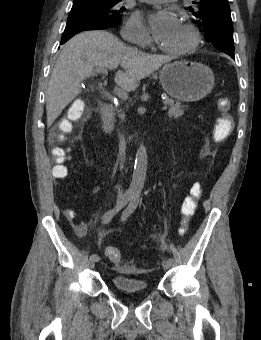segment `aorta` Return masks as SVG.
Instances as JSON below:
<instances>
[{
  "label": "aorta",
  "mask_w": 261,
  "mask_h": 340,
  "mask_svg": "<svg viewBox=\"0 0 261 340\" xmlns=\"http://www.w3.org/2000/svg\"><path fill=\"white\" fill-rule=\"evenodd\" d=\"M147 171V150L141 143L136 152L135 165L133 170L132 181L130 183L128 193L139 196L144 186Z\"/></svg>",
  "instance_id": "762f6f07"
}]
</instances>
